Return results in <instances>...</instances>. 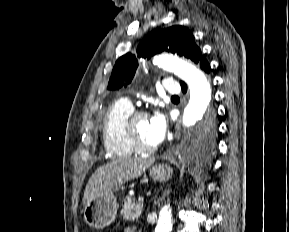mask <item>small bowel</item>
Here are the masks:
<instances>
[{"label": "small bowel", "instance_id": "1", "mask_svg": "<svg viewBox=\"0 0 289 232\" xmlns=\"http://www.w3.org/2000/svg\"><path fill=\"white\" fill-rule=\"evenodd\" d=\"M125 232H135V231L130 229V228H128V229L125 230Z\"/></svg>", "mask_w": 289, "mask_h": 232}]
</instances>
